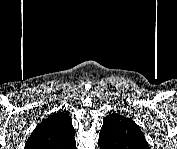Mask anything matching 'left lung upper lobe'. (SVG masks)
<instances>
[{"instance_id": "5c2ea615", "label": "left lung upper lobe", "mask_w": 177, "mask_h": 149, "mask_svg": "<svg viewBox=\"0 0 177 149\" xmlns=\"http://www.w3.org/2000/svg\"><path fill=\"white\" fill-rule=\"evenodd\" d=\"M98 144L103 149H148L140 127L130 118L118 113L106 116Z\"/></svg>"}]
</instances>
